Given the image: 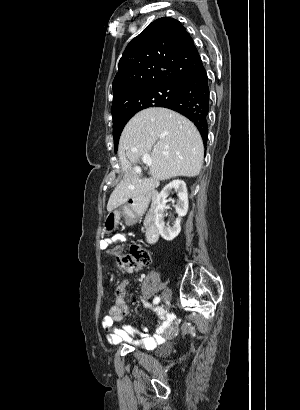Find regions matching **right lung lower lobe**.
Here are the masks:
<instances>
[{"instance_id":"98d812e1","label":"right lung lower lobe","mask_w":300,"mask_h":410,"mask_svg":"<svg viewBox=\"0 0 300 410\" xmlns=\"http://www.w3.org/2000/svg\"><path fill=\"white\" fill-rule=\"evenodd\" d=\"M209 83L206 70L201 64L183 83L179 92L160 107L181 113L190 119L199 130L204 145L207 143L209 112Z\"/></svg>"}]
</instances>
